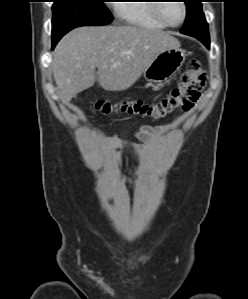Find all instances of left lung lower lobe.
Wrapping results in <instances>:
<instances>
[{
	"label": "left lung lower lobe",
	"instance_id": "obj_1",
	"mask_svg": "<svg viewBox=\"0 0 248 299\" xmlns=\"http://www.w3.org/2000/svg\"><path fill=\"white\" fill-rule=\"evenodd\" d=\"M207 48H209V43L207 44V46H206Z\"/></svg>",
	"mask_w": 248,
	"mask_h": 299
}]
</instances>
